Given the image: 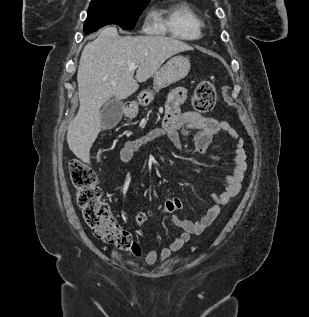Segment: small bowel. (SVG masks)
I'll return each mask as SVG.
<instances>
[{"label": "small bowel", "instance_id": "small-bowel-1", "mask_svg": "<svg viewBox=\"0 0 309 317\" xmlns=\"http://www.w3.org/2000/svg\"><path fill=\"white\" fill-rule=\"evenodd\" d=\"M186 98L187 90L185 88L174 89L167 99L161 127L152 129L143 136L127 141L120 150V160L124 163L129 162L139 148L160 138H166L175 148L181 149L183 147L182 139L190 137L197 152L210 157L213 161H218L219 157L211 154L210 149L214 138L224 133L234 140V166L232 172L225 177V189L214 192L211 195L213 203L198 221L185 220L176 214L182 207L179 199H168L164 203L160 214L171 215L173 223L181 228L182 232L176 236L169 246L162 248L160 252L148 251L145 256V261L148 264L166 260L174 252L180 250L192 235H198L210 226L220 213L221 207L239 193L246 171L244 141L237 131L226 121L216 120L193 111L181 113L180 107ZM149 214H153V211L148 213L139 212L136 215L137 223L143 225L147 221Z\"/></svg>", "mask_w": 309, "mask_h": 317}]
</instances>
